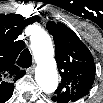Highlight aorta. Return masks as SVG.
Masks as SVG:
<instances>
[{
	"mask_svg": "<svg viewBox=\"0 0 103 103\" xmlns=\"http://www.w3.org/2000/svg\"><path fill=\"white\" fill-rule=\"evenodd\" d=\"M31 49L37 63L35 80L45 93H53L58 86V73L52 41L45 30H35L31 36Z\"/></svg>",
	"mask_w": 103,
	"mask_h": 103,
	"instance_id": "aorta-1",
	"label": "aorta"
}]
</instances>
